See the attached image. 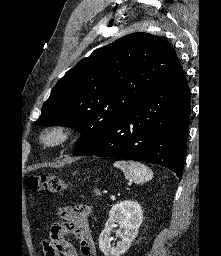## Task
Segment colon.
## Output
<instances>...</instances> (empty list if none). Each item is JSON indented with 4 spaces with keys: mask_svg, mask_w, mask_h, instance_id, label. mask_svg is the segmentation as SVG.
I'll return each mask as SVG.
<instances>
[{
    "mask_svg": "<svg viewBox=\"0 0 221 256\" xmlns=\"http://www.w3.org/2000/svg\"><path fill=\"white\" fill-rule=\"evenodd\" d=\"M27 186L30 190L47 193H58L65 189L62 179L48 173L31 175L27 180Z\"/></svg>",
    "mask_w": 221,
    "mask_h": 256,
    "instance_id": "obj_1",
    "label": "colon"
}]
</instances>
